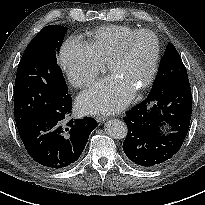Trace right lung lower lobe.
I'll use <instances>...</instances> for the list:
<instances>
[{
	"instance_id": "right-lung-lower-lobe-1",
	"label": "right lung lower lobe",
	"mask_w": 205,
	"mask_h": 205,
	"mask_svg": "<svg viewBox=\"0 0 205 205\" xmlns=\"http://www.w3.org/2000/svg\"><path fill=\"white\" fill-rule=\"evenodd\" d=\"M72 98L52 103L17 127L28 154L51 170L72 166L81 155L89 135L98 125L95 119H65L71 114Z\"/></svg>"
}]
</instances>
